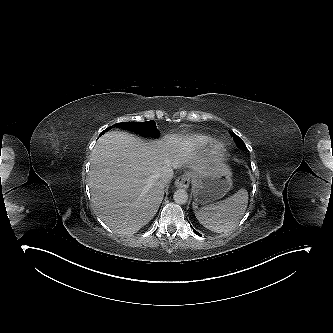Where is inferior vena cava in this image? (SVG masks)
I'll list each match as a JSON object with an SVG mask.
<instances>
[{
    "instance_id": "602c4592",
    "label": "inferior vena cava",
    "mask_w": 333,
    "mask_h": 333,
    "mask_svg": "<svg viewBox=\"0 0 333 333\" xmlns=\"http://www.w3.org/2000/svg\"><path fill=\"white\" fill-rule=\"evenodd\" d=\"M173 177V168L172 167H164L160 172V180L163 183H168Z\"/></svg>"
}]
</instances>
